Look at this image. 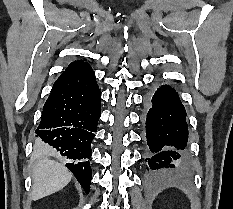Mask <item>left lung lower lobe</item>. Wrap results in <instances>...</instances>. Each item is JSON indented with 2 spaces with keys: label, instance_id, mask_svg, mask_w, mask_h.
Here are the masks:
<instances>
[{
  "label": "left lung lower lobe",
  "instance_id": "1",
  "mask_svg": "<svg viewBox=\"0 0 233 209\" xmlns=\"http://www.w3.org/2000/svg\"><path fill=\"white\" fill-rule=\"evenodd\" d=\"M146 137L150 149L146 159L152 171L171 170L184 158L188 141L186 111L177 92L161 85L148 102Z\"/></svg>",
  "mask_w": 233,
  "mask_h": 209
}]
</instances>
